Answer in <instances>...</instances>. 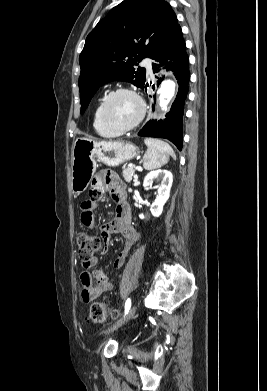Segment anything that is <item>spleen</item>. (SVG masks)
<instances>
[{
    "instance_id": "obj_1",
    "label": "spleen",
    "mask_w": 267,
    "mask_h": 391,
    "mask_svg": "<svg viewBox=\"0 0 267 391\" xmlns=\"http://www.w3.org/2000/svg\"><path fill=\"white\" fill-rule=\"evenodd\" d=\"M144 142L147 146V151L143 156L145 170L162 167L168 162L170 156L176 158L174 150L168 143L155 138H146Z\"/></svg>"
}]
</instances>
